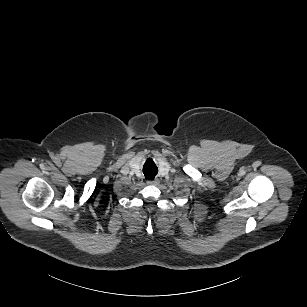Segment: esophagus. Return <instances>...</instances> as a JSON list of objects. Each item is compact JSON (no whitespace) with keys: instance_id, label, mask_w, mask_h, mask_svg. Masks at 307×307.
<instances>
[{"instance_id":"34e87169","label":"esophagus","mask_w":307,"mask_h":307,"mask_svg":"<svg viewBox=\"0 0 307 307\" xmlns=\"http://www.w3.org/2000/svg\"><path fill=\"white\" fill-rule=\"evenodd\" d=\"M159 183H160V181L157 178L156 179L154 178L153 180H148L147 181L148 185H158Z\"/></svg>"}]
</instances>
